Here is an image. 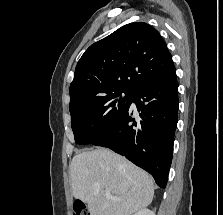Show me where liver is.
<instances>
[{
	"label": "liver",
	"instance_id": "obj_1",
	"mask_svg": "<svg viewBox=\"0 0 223 215\" xmlns=\"http://www.w3.org/2000/svg\"><path fill=\"white\" fill-rule=\"evenodd\" d=\"M72 195L87 203L90 215H130L151 203V175L106 147L82 151L70 163ZM105 189L121 199H108Z\"/></svg>",
	"mask_w": 223,
	"mask_h": 215
}]
</instances>
